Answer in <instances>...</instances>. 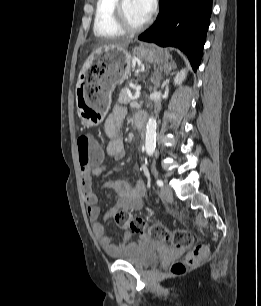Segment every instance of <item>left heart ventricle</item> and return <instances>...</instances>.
<instances>
[{
	"label": "left heart ventricle",
	"instance_id": "left-heart-ventricle-1",
	"mask_svg": "<svg viewBox=\"0 0 261 306\" xmlns=\"http://www.w3.org/2000/svg\"><path fill=\"white\" fill-rule=\"evenodd\" d=\"M123 7L125 14L131 24L140 25L146 20L136 8L134 0H124Z\"/></svg>",
	"mask_w": 261,
	"mask_h": 306
}]
</instances>
